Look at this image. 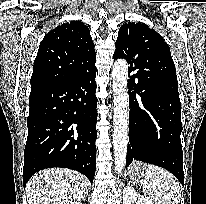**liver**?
Instances as JSON below:
<instances>
[{"label":"liver","instance_id":"6515ba94","mask_svg":"<svg viewBox=\"0 0 206 204\" xmlns=\"http://www.w3.org/2000/svg\"><path fill=\"white\" fill-rule=\"evenodd\" d=\"M87 178L65 168L44 169L27 183L28 204H81L87 194Z\"/></svg>","mask_w":206,"mask_h":204}]
</instances>
